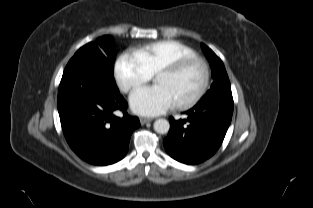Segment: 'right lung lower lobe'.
I'll list each match as a JSON object with an SVG mask.
<instances>
[{
  "mask_svg": "<svg viewBox=\"0 0 313 208\" xmlns=\"http://www.w3.org/2000/svg\"><path fill=\"white\" fill-rule=\"evenodd\" d=\"M127 107L114 77L104 76L98 65L80 61L64 71L58 112L69 146L84 161L109 165L126 155L130 136L140 126ZM116 110L122 118L113 114Z\"/></svg>",
  "mask_w": 313,
  "mask_h": 208,
  "instance_id": "1",
  "label": "right lung lower lobe"
}]
</instances>
